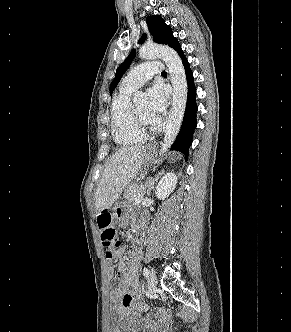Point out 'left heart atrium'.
<instances>
[{
    "label": "left heart atrium",
    "instance_id": "39dd6f15",
    "mask_svg": "<svg viewBox=\"0 0 291 332\" xmlns=\"http://www.w3.org/2000/svg\"><path fill=\"white\" fill-rule=\"evenodd\" d=\"M148 115L153 124L161 122L166 105L167 94L160 85H154L148 90Z\"/></svg>",
    "mask_w": 291,
    "mask_h": 332
}]
</instances>
